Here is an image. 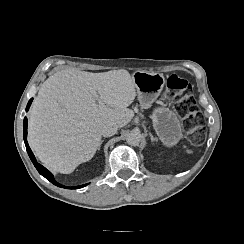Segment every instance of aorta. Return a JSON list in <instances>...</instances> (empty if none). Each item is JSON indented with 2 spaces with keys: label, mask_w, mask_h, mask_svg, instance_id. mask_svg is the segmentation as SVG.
I'll use <instances>...</instances> for the list:
<instances>
[{
  "label": "aorta",
  "mask_w": 244,
  "mask_h": 244,
  "mask_svg": "<svg viewBox=\"0 0 244 244\" xmlns=\"http://www.w3.org/2000/svg\"><path fill=\"white\" fill-rule=\"evenodd\" d=\"M126 141L129 145L137 146L141 141V134L138 131H130L126 135Z\"/></svg>",
  "instance_id": "1"
}]
</instances>
